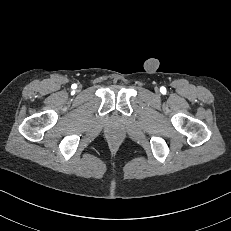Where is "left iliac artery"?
Masks as SVG:
<instances>
[{
    "label": "left iliac artery",
    "instance_id": "44dca946",
    "mask_svg": "<svg viewBox=\"0 0 231 231\" xmlns=\"http://www.w3.org/2000/svg\"><path fill=\"white\" fill-rule=\"evenodd\" d=\"M160 90H161L162 93L166 92V88L165 87H161Z\"/></svg>",
    "mask_w": 231,
    "mask_h": 231
}]
</instances>
